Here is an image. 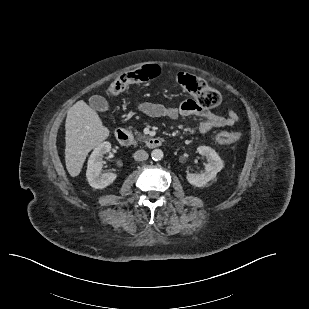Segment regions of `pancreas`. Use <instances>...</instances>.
I'll return each instance as SVG.
<instances>
[{"label":"pancreas","mask_w":309,"mask_h":309,"mask_svg":"<svg viewBox=\"0 0 309 309\" xmlns=\"http://www.w3.org/2000/svg\"><path fill=\"white\" fill-rule=\"evenodd\" d=\"M138 141H145L147 138L144 135H141L140 133H138L137 131L135 132Z\"/></svg>","instance_id":"cf45deb5"}]
</instances>
